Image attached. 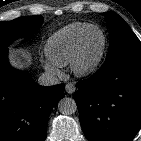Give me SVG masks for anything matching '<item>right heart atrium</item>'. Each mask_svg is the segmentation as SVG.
<instances>
[{
    "label": "right heart atrium",
    "instance_id": "1",
    "mask_svg": "<svg viewBox=\"0 0 141 141\" xmlns=\"http://www.w3.org/2000/svg\"><path fill=\"white\" fill-rule=\"evenodd\" d=\"M44 68L50 73H53V74L59 73L58 65H56L55 63H53L50 60H46L44 62Z\"/></svg>",
    "mask_w": 141,
    "mask_h": 141
}]
</instances>
